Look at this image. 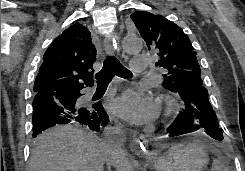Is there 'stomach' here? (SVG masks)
<instances>
[{
    "label": "stomach",
    "mask_w": 245,
    "mask_h": 171,
    "mask_svg": "<svg viewBox=\"0 0 245 171\" xmlns=\"http://www.w3.org/2000/svg\"><path fill=\"white\" fill-rule=\"evenodd\" d=\"M209 149L199 141L177 144L152 164L157 171H203L209 161Z\"/></svg>",
    "instance_id": "obj_1"
}]
</instances>
